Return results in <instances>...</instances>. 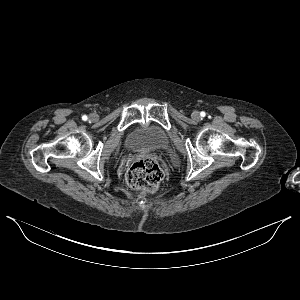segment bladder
I'll use <instances>...</instances> for the list:
<instances>
[{"instance_id":"1","label":"bladder","mask_w":300,"mask_h":300,"mask_svg":"<svg viewBox=\"0 0 300 300\" xmlns=\"http://www.w3.org/2000/svg\"><path fill=\"white\" fill-rule=\"evenodd\" d=\"M166 130L152 122L144 123L134 129L127 138V145L134 151H156L168 146Z\"/></svg>"}]
</instances>
